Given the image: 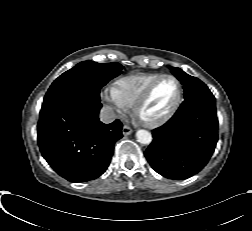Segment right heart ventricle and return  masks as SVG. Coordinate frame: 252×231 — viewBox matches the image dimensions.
<instances>
[{
	"label": "right heart ventricle",
	"mask_w": 252,
	"mask_h": 231,
	"mask_svg": "<svg viewBox=\"0 0 252 231\" xmlns=\"http://www.w3.org/2000/svg\"><path fill=\"white\" fill-rule=\"evenodd\" d=\"M161 74H135L122 77L114 84L119 99L128 107H132L144 90Z\"/></svg>",
	"instance_id": "1"
}]
</instances>
